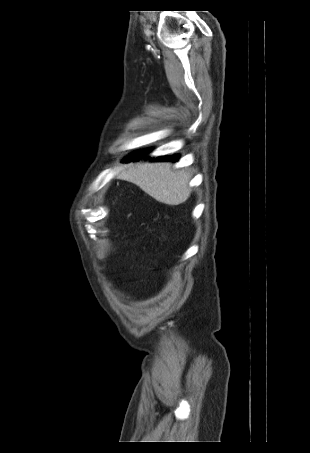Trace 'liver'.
<instances>
[{"label": "liver", "instance_id": "obj_1", "mask_svg": "<svg viewBox=\"0 0 310 453\" xmlns=\"http://www.w3.org/2000/svg\"><path fill=\"white\" fill-rule=\"evenodd\" d=\"M119 179L132 182L155 200L179 205L190 196V176L183 170H175L171 163H140L122 170Z\"/></svg>", "mask_w": 310, "mask_h": 453}]
</instances>
